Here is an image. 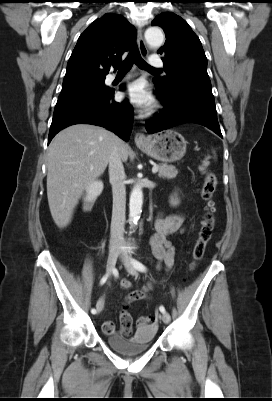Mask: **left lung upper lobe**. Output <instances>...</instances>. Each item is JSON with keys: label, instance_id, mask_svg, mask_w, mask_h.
<instances>
[{"label": "left lung upper lobe", "instance_id": "5c2ea615", "mask_svg": "<svg viewBox=\"0 0 272 401\" xmlns=\"http://www.w3.org/2000/svg\"><path fill=\"white\" fill-rule=\"evenodd\" d=\"M152 25L160 26L166 34L165 45L158 50L166 76L154 78L155 86L163 90L174 85L211 90L207 58L188 23L174 13L164 12L155 17Z\"/></svg>", "mask_w": 272, "mask_h": 401}]
</instances>
